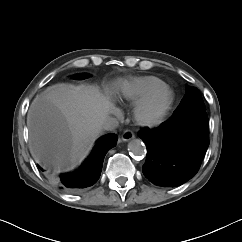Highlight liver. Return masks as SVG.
I'll use <instances>...</instances> for the list:
<instances>
[{
    "label": "liver",
    "instance_id": "obj_1",
    "mask_svg": "<svg viewBox=\"0 0 242 242\" xmlns=\"http://www.w3.org/2000/svg\"><path fill=\"white\" fill-rule=\"evenodd\" d=\"M111 110L93 85L56 84L32 102L27 125L30 151L41 163L68 171L88 155Z\"/></svg>",
    "mask_w": 242,
    "mask_h": 242
}]
</instances>
